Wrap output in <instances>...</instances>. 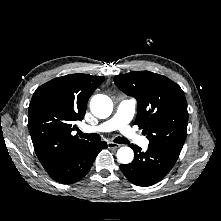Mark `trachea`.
<instances>
[{
    "instance_id": "3493384b",
    "label": "trachea",
    "mask_w": 221,
    "mask_h": 221,
    "mask_svg": "<svg viewBox=\"0 0 221 221\" xmlns=\"http://www.w3.org/2000/svg\"><path fill=\"white\" fill-rule=\"evenodd\" d=\"M80 137L88 139L89 141L92 142H98L101 140L100 135L96 134V133H92V134H84L82 132H79ZM114 142L119 143V144H128L129 141L124 138V137H116L114 139Z\"/></svg>"
}]
</instances>
